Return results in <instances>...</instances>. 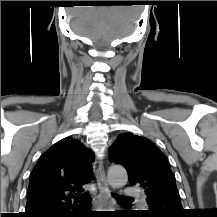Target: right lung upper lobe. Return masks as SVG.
I'll return each instance as SVG.
<instances>
[{"label": "right lung upper lobe", "instance_id": "obj_1", "mask_svg": "<svg viewBox=\"0 0 217 217\" xmlns=\"http://www.w3.org/2000/svg\"><path fill=\"white\" fill-rule=\"evenodd\" d=\"M94 154L79 140L66 137L49 148L35 165L24 217H57L77 208L82 185L92 179ZM72 203V193H75Z\"/></svg>", "mask_w": 217, "mask_h": 217}]
</instances>
